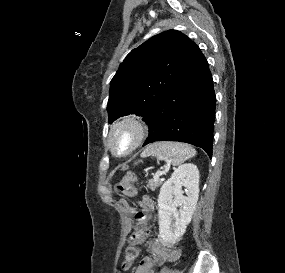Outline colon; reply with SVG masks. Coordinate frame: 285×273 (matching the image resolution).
<instances>
[{
    "label": "colon",
    "mask_w": 285,
    "mask_h": 273,
    "mask_svg": "<svg viewBox=\"0 0 285 273\" xmlns=\"http://www.w3.org/2000/svg\"><path fill=\"white\" fill-rule=\"evenodd\" d=\"M116 190L119 194L128 198H135L138 194L137 177L133 174H127L117 184ZM134 205L138 207L134 213L138 223L129 238L128 246L125 248L124 260L121 265L122 270H128L138 257L139 245L143 242L149 228V223H147L149 216L148 205L139 199L135 200Z\"/></svg>",
    "instance_id": "1"
}]
</instances>
